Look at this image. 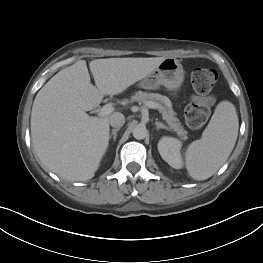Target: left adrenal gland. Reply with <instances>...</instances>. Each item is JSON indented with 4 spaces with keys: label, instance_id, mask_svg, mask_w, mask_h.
Returning a JSON list of instances; mask_svg holds the SVG:
<instances>
[{
    "label": "left adrenal gland",
    "instance_id": "obj_1",
    "mask_svg": "<svg viewBox=\"0 0 263 263\" xmlns=\"http://www.w3.org/2000/svg\"><path fill=\"white\" fill-rule=\"evenodd\" d=\"M155 125H156V128H157V130H159V129H166V130H169V128L166 126V125H164L163 123H161V122H159V121H156L155 122Z\"/></svg>",
    "mask_w": 263,
    "mask_h": 263
}]
</instances>
